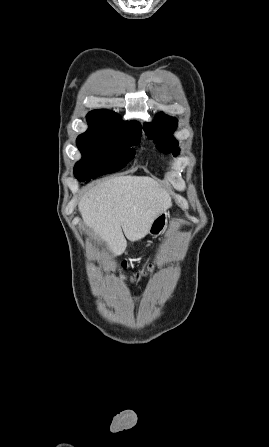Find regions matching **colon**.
I'll return each instance as SVG.
<instances>
[{
  "mask_svg": "<svg viewBox=\"0 0 269 447\" xmlns=\"http://www.w3.org/2000/svg\"><path fill=\"white\" fill-rule=\"evenodd\" d=\"M176 215L179 216L180 213L176 212ZM155 265L153 263H149L146 266L142 267L140 270L136 271L129 279L128 283L132 284L137 282L138 280L142 279L143 277L150 276L154 271ZM129 270H136L137 264L136 263H129L128 264Z\"/></svg>",
  "mask_w": 269,
  "mask_h": 447,
  "instance_id": "5ec220e1",
  "label": "colon"
}]
</instances>
